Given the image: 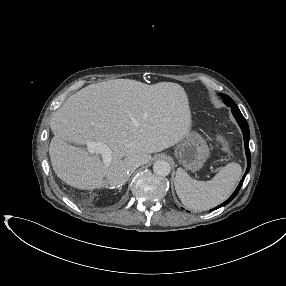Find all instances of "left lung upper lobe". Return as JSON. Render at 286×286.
I'll return each instance as SVG.
<instances>
[{
	"label": "left lung upper lobe",
	"mask_w": 286,
	"mask_h": 286,
	"mask_svg": "<svg viewBox=\"0 0 286 286\" xmlns=\"http://www.w3.org/2000/svg\"><path fill=\"white\" fill-rule=\"evenodd\" d=\"M220 96L222 97V99L224 100V103L230 107L231 109H239L237 107V105L234 103V101L228 96V95H225V94H220Z\"/></svg>",
	"instance_id": "1"
}]
</instances>
